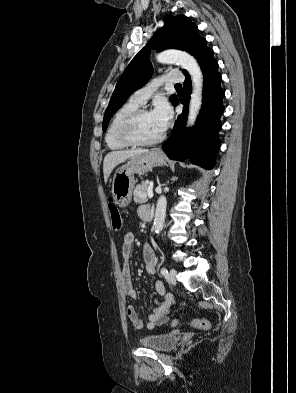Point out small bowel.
Listing matches in <instances>:
<instances>
[{"mask_svg":"<svg viewBox=\"0 0 296 393\" xmlns=\"http://www.w3.org/2000/svg\"><path fill=\"white\" fill-rule=\"evenodd\" d=\"M149 206L143 205L138 208V216L140 219L145 220ZM135 242V235L133 232H127L124 235L122 243V255L125 259V264L121 273V284L123 292L126 296L131 298H137V292L131 282V272L128 264L132 248ZM143 258L145 262V270L149 274H155L157 266V258L154 254L152 247L149 244H145L143 247ZM156 292L159 295V299H154V305L147 315V329H153L155 326H160L166 323L168 319V313L174 304V297L171 293L167 292L161 281L155 283ZM127 315L135 329H142L144 327L143 321L140 319L136 309L132 306H128Z\"/></svg>","mask_w":296,"mask_h":393,"instance_id":"obj_1","label":"small bowel"}]
</instances>
